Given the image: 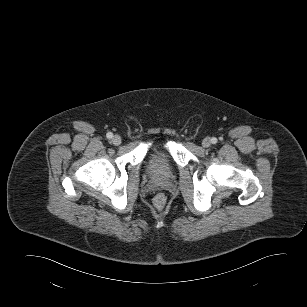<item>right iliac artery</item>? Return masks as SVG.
<instances>
[{"label":"right iliac artery","mask_w":307,"mask_h":307,"mask_svg":"<svg viewBox=\"0 0 307 307\" xmlns=\"http://www.w3.org/2000/svg\"><path fill=\"white\" fill-rule=\"evenodd\" d=\"M106 137H107L108 139H111V138L113 137V134H112L111 132H108V133L106 134Z\"/></svg>","instance_id":"1"}]
</instances>
